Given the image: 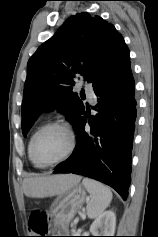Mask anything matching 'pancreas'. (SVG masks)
I'll list each match as a JSON object with an SVG mask.
<instances>
[{
    "mask_svg": "<svg viewBox=\"0 0 158 237\" xmlns=\"http://www.w3.org/2000/svg\"><path fill=\"white\" fill-rule=\"evenodd\" d=\"M71 232L74 233L73 235H76V233H79V232L76 231L75 229H72Z\"/></svg>",
    "mask_w": 158,
    "mask_h": 237,
    "instance_id": "cf45deb5",
    "label": "pancreas"
}]
</instances>
